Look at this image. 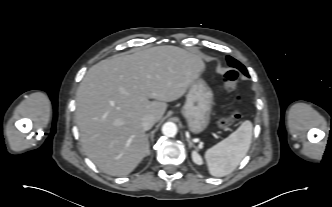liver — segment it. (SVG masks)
<instances>
[{
  "label": "liver",
  "mask_w": 332,
  "mask_h": 207,
  "mask_svg": "<svg viewBox=\"0 0 332 207\" xmlns=\"http://www.w3.org/2000/svg\"><path fill=\"white\" fill-rule=\"evenodd\" d=\"M204 70L199 54L176 46L114 55L92 66L76 94V122L88 158L108 175L131 173L147 153L142 118L159 121L166 102L181 98Z\"/></svg>",
  "instance_id": "liver-1"
}]
</instances>
